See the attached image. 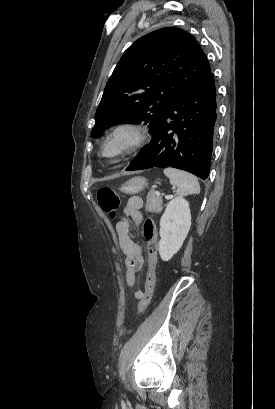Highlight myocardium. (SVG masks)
Listing matches in <instances>:
<instances>
[{
  "label": "myocardium",
  "instance_id": "1",
  "mask_svg": "<svg viewBox=\"0 0 275 409\" xmlns=\"http://www.w3.org/2000/svg\"><path fill=\"white\" fill-rule=\"evenodd\" d=\"M143 139L142 129L133 123L117 126L102 145L104 157H120L139 145Z\"/></svg>",
  "mask_w": 275,
  "mask_h": 409
}]
</instances>
